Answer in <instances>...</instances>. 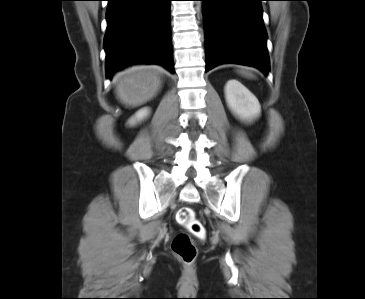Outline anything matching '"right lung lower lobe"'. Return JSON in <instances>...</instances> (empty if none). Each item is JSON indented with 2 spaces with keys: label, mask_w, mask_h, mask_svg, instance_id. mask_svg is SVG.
<instances>
[{
  "label": "right lung lower lobe",
  "mask_w": 365,
  "mask_h": 299,
  "mask_svg": "<svg viewBox=\"0 0 365 299\" xmlns=\"http://www.w3.org/2000/svg\"><path fill=\"white\" fill-rule=\"evenodd\" d=\"M106 74L135 63L159 64L174 73L171 0H107Z\"/></svg>",
  "instance_id": "1"
}]
</instances>
